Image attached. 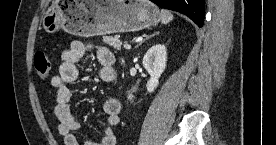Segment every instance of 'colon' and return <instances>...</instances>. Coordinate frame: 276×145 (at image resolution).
Listing matches in <instances>:
<instances>
[{
	"label": "colon",
	"instance_id": "1",
	"mask_svg": "<svg viewBox=\"0 0 276 145\" xmlns=\"http://www.w3.org/2000/svg\"><path fill=\"white\" fill-rule=\"evenodd\" d=\"M34 65L36 73L40 79H47L51 72V62L47 54L38 52L35 55Z\"/></svg>",
	"mask_w": 276,
	"mask_h": 145
}]
</instances>
